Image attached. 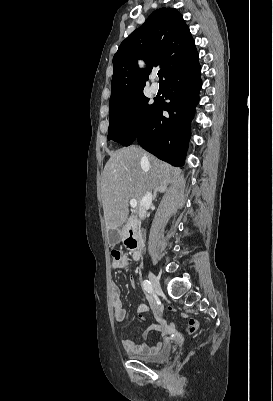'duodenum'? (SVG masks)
Returning a JSON list of instances; mask_svg holds the SVG:
<instances>
[{
	"mask_svg": "<svg viewBox=\"0 0 273 401\" xmlns=\"http://www.w3.org/2000/svg\"><path fill=\"white\" fill-rule=\"evenodd\" d=\"M124 243L129 249L132 259L137 260L142 252V241L138 223L134 218H130L127 222Z\"/></svg>",
	"mask_w": 273,
	"mask_h": 401,
	"instance_id": "410a0bca",
	"label": "duodenum"
}]
</instances>
